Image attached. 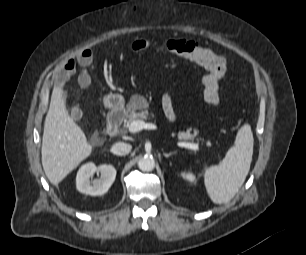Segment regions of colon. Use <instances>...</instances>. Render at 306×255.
<instances>
[{
  "label": "colon",
  "instance_id": "5ec220e1",
  "mask_svg": "<svg viewBox=\"0 0 306 255\" xmlns=\"http://www.w3.org/2000/svg\"><path fill=\"white\" fill-rule=\"evenodd\" d=\"M148 47L149 43L145 39H137L132 43V49L135 52H143L147 50ZM166 48L194 62L208 72L202 80L204 98L209 104L220 107L219 80L226 73V61L211 50L203 48L193 41L169 40L166 42Z\"/></svg>",
  "mask_w": 306,
  "mask_h": 255
}]
</instances>
